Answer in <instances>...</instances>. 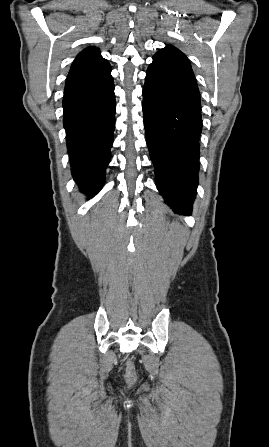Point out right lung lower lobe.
<instances>
[{"mask_svg":"<svg viewBox=\"0 0 269 447\" xmlns=\"http://www.w3.org/2000/svg\"><path fill=\"white\" fill-rule=\"evenodd\" d=\"M109 63L68 74L63 97L71 172L80 191L94 196L103 186L115 126V95Z\"/></svg>","mask_w":269,"mask_h":447,"instance_id":"1","label":"right lung lower lobe"}]
</instances>
